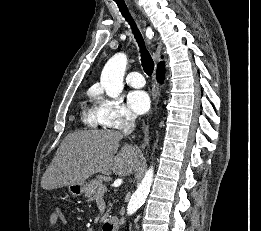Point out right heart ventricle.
I'll list each match as a JSON object with an SVG mask.
<instances>
[{
	"mask_svg": "<svg viewBox=\"0 0 261 231\" xmlns=\"http://www.w3.org/2000/svg\"><path fill=\"white\" fill-rule=\"evenodd\" d=\"M89 95L93 96L92 89L89 91ZM81 121L84 125L97 128L101 126L99 116H98V109L96 105H87L83 108L81 112Z\"/></svg>",
	"mask_w": 261,
	"mask_h": 231,
	"instance_id": "obj_1",
	"label": "right heart ventricle"
}]
</instances>
